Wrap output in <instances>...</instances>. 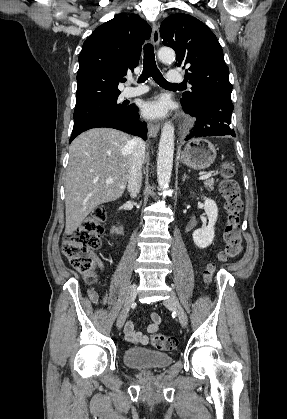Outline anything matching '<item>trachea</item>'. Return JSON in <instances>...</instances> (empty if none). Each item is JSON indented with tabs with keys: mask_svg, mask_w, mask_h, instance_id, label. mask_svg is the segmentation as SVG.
<instances>
[{
	"mask_svg": "<svg viewBox=\"0 0 287 419\" xmlns=\"http://www.w3.org/2000/svg\"><path fill=\"white\" fill-rule=\"evenodd\" d=\"M162 87L182 86L181 84H172L167 82L156 66L153 46L148 43L144 46L143 72L139 77V82L146 81L149 77Z\"/></svg>",
	"mask_w": 287,
	"mask_h": 419,
	"instance_id": "obj_1",
	"label": "trachea"
}]
</instances>
